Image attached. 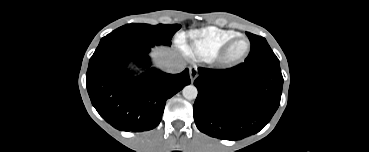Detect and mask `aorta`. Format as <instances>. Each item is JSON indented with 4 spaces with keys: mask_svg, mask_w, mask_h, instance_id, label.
Returning <instances> with one entry per match:
<instances>
[{
    "mask_svg": "<svg viewBox=\"0 0 369 152\" xmlns=\"http://www.w3.org/2000/svg\"><path fill=\"white\" fill-rule=\"evenodd\" d=\"M182 94L184 98L188 100H193L197 97L198 91L194 85H187L183 88Z\"/></svg>",
    "mask_w": 369,
    "mask_h": 152,
    "instance_id": "aorta-1",
    "label": "aorta"
}]
</instances>
